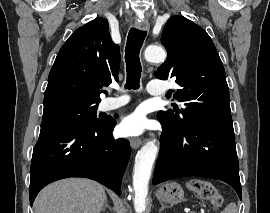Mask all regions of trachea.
<instances>
[{"label":"trachea","instance_id":"1","mask_svg":"<svg viewBox=\"0 0 270 213\" xmlns=\"http://www.w3.org/2000/svg\"><path fill=\"white\" fill-rule=\"evenodd\" d=\"M147 35L146 31L131 28L127 37L125 48V62L127 72V89H138L142 67L140 63L139 53Z\"/></svg>","mask_w":270,"mask_h":213}]
</instances>
